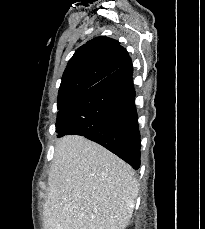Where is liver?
<instances>
[{
    "label": "liver",
    "instance_id": "6515ba94",
    "mask_svg": "<svg viewBox=\"0 0 205 229\" xmlns=\"http://www.w3.org/2000/svg\"><path fill=\"white\" fill-rule=\"evenodd\" d=\"M48 184L44 229H124L138 195L130 165L77 135L57 140Z\"/></svg>",
    "mask_w": 205,
    "mask_h": 229
}]
</instances>
